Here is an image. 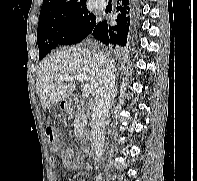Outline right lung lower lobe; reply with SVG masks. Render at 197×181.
<instances>
[{
    "label": "right lung lower lobe",
    "instance_id": "obj_1",
    "mask_svg": "<svg viewBox=\"0 0 197 181\" xmlns=\"http://www.w3.org/2000/svg\"><path fill=\"white\" fill-rule=\"evenodd\" d=\"M116 25H108L107 21L97 22L91 34L106 45L114 47L126 46L128 36L134 28L139 13V0H117Z\"/></svg>",
    "mask_w": 197,
    "mask_h": 181
}]
</instances>
